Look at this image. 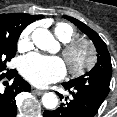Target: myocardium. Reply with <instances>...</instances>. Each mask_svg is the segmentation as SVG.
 I'll return each mask as SVG.
<instances>
[{"instance_id": "obj_1", "label": "myocardium", "mask_w": 117, "mask_h": 117, "mask_svg": "<svg viewBox=\"0 0 117 117\" xmlns=\"http://www.w3.org/2000/svg\"><path fill=\"white\" fill-rule=\"evenodd\" d=\"M62 55L74 76L83 75L97 60L94 45L85 38H76L64 43Z\"/></svg>"}]
</instances>
